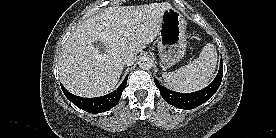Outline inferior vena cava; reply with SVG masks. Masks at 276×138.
Returning a JSON list of instances; mask_svg holds the SVG:
<instances>
[{
  "instance_id": "602c4592",
  "label": "inferior vena cava",
  "mask_w": 276,
  "mask_h": 138,
  "mask_svg": "<svg viewBox=\"0 0 276 138\" xmlns=\"http://www.w3.org/2000/svg\"><path fill=\"white\" fill-rule=\"evenodd\" d=\"M136 60V56L132 53H125L121 57V62L123 65L131 66Z\"/></svg>"
}]
</instances>
